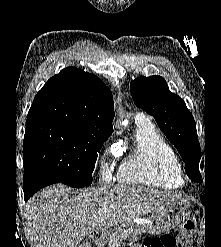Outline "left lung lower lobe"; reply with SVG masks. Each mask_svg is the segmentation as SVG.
<instances>
[{"label": "left lung lower lobe", "mask_w": 221, "mask_h": 247, "mask_svg": "<svg viewBox=\"0 0 221 247\" xmlns=\"http://www.w3.org/2000/svg\"><path fill=\"white\" fill-rule=\"evenodd\" d=\"M200 199L203 203H205V196H201Z\"/></svg>", "instance_id": "1"}]
</instances>
